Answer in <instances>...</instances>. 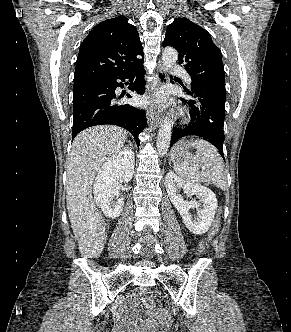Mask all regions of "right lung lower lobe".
Here are the masks:
<instances>
[{
    "label": "right lung lower lobe",
    "mask_w": 291,
    "mask_h": 332,
    "mask_svg": "<svg viewBox=\"0 0 291 332\" xmlns=\"http://www.w3.org/2000/svg\"><path fill=\"white\" fill-rule=\"evenodd\" d=\"M143 62L135 68L116 75H99L74 83L73 91V130L75 137L82 130L96 126L111 124L128 130L136 139L139 146L138 135L146 126L145 112L130 106L118 104L123 95L116 96L115 89L123 87L125 79L136 80L130 89L138 94L144 93ZM128 97H131L127 94Z\"/></svg>",
    "instance_id": "98d812e1"
}]
</instances>
